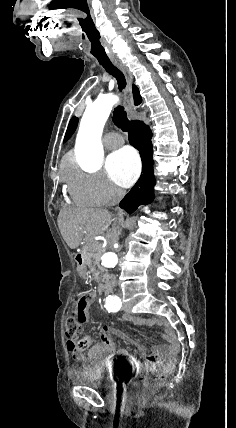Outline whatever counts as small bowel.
Wrapping results in <instances>:
<instances>
[{
    "mask_svg": "<svg viewBox=\"0 0 236 428\" xmlns=\"http://www.w3.org/2000/svg\"><path fill=\"white\" fill-rule=\"evenodd\" d=\"M123 319L130 321L135 325H158L164 330V338L167 341V345L156 346L149 353L145 352V350L141 348L144 357V364L146 367L156 368L161 366L170 353L177 348L178 344L175 330L167 319H146L127 314L123 316ZM110 331L111 330L108 327H103L100 333V340L89 350L88 358L90 360L96 361L101 359H111L114 356H122L125 357L128 363L132 366L137 368L140 367L141 362L136 356L125 349L118 348L114 344L109 336ZM74 358L80 362L86 359L85 356L79 351L74 352Z\"/></svg>",
    "mask_w": 236,
    "mask_h": 428,
    "instance_id": "obj_1",
    "label": "small bowel"
}]
</instances>
